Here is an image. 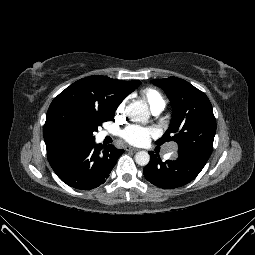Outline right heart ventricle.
Here are the masks:
<instances>
[{
	"label": "right heart ventricle",
	"mask_w": 255,
	"mask_h": 255,
	"mask_svg": "<svg viewBox=\"0 0 255 255\" xmlns=\"http://www.w3.org/2000/svg\"><path fill=\"white\" fill-rule=\"evenodd\" d=\"M141 96L148 103L152 111L158 108L163 109L166 106L165 98L154 88H146L142 90Z\"/></svg>",
	"instance_id": "1"
}]
</instances>
